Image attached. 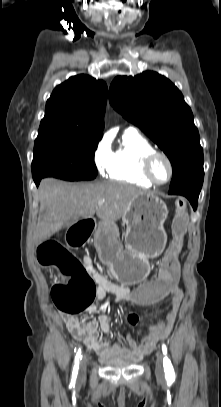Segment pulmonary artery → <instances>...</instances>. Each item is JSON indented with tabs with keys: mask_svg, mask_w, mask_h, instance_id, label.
Returning <instances> with one entry per match:
<instances>
[{
	"mask_svg": "<svg viewBox=\"0 0 221 407\" xmlns=\"http://www.w3.org/2000/svg\"><path fill=\"white\" fill-rule=\"evenodd\" d=\"M127 130H135L134 127H129Z\"/></svg>",
	"mask_w": 221,
	"mask_h": 407,
	"instance_id": "1",
	"label": "pulmonary artery"
}]
</instances>
